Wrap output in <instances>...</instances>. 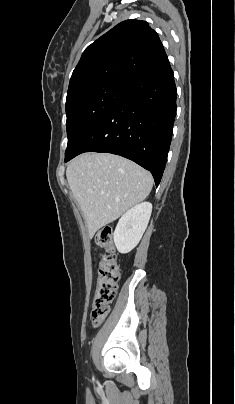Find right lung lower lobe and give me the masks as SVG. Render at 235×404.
<instances>
[{"label":"right lung lower lobe","instance_id":"right-lung-lower-lobe-1","mask_svg":"<svg viewBox=\"0 0 235 404\" xmlns=\"http://www.w3.org/2000/svg\"><path fill=\"white\" fill-rule=\"evenodd\" d=\"M176 96L166 59L125 83L119 102L89 129L65 162L88 151L121 155L149 170L158 186L171 143Z\"/></svg>","mask_w":235,"mask_h":404}]
</instances>
